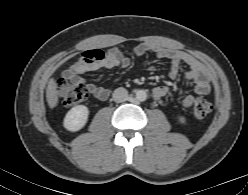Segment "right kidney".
<instances>
[{"mask_svg": "<svg viewBox=\"0 0 248 195\" xmlns=\"http://www.w3.org/2000/svg\"><path fill=\"white\" fill-rule=\"evenodd\" d=\"M89 110L85 105L70 109L64 118V127L72 132L79 131L87 123Z\"/></svg>", "mask_w": 248, "mask_h": 195, "instance_id": "1", "label": "right kidney"}]
</instances>
